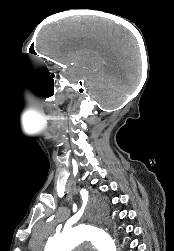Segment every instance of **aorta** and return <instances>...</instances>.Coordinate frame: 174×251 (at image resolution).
I'll return each mask as SVG.
<instances>
[{
    "instance_id": "1",
    "label": "aorta",
    "mask_w": 174,
    "mask_h": 251,
    "mask_svg": "<svg viewBox=\"0 0 174 251\" xmlns=\"http://www.w3.org/2000/svg\"><path fill=\"white\" fill-rule=\"evenodd\" d=\"M103 222L89 210L83 224L55 236L46 244L44 251H71L84 242L91 243L98 251H117V240L111 237Z\"/></svg>"
}]
</instances>
